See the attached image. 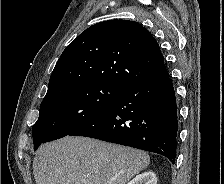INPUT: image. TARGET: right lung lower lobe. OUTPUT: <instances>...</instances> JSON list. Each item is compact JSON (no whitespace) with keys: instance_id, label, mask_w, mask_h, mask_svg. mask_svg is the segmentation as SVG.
I'll list each match as a JSON object with an SVG mask.
<instances>
[{"instance_id":"right-lung-lower-lobe-1","label":"right lung lower lobe","mask_w":224,"mask_h":184,"mask_svg":"<svg viewBox=\"0 0 224 184\" xmlns=\"http://www.w3.org/2000/svg\"><path fill=\"white\" fill-rule=\"evenodd\" d=\"M177 105L169 73L128 85L99 115L69 135L176 158Z\"/></svg>"}]
</instances>
